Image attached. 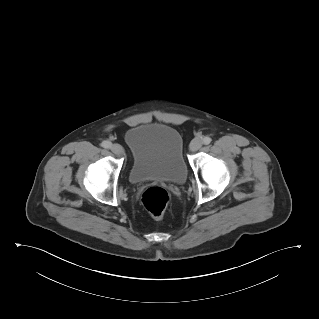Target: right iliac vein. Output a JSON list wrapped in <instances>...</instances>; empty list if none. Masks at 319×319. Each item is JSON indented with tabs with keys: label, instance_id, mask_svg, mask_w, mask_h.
Returning <instances> with one entry per match:
<instances>
[{
	"label": "right iliac vein",
	"instance_id": "obj_1",
	"mask_svg": "<svg viewBox=\"0 0 319 319\" xmlns=\"http://www.w3.org/2000/svg\"><path fill=\"white\" fill-rule=\"evenodd\" d=\"M111 151L117 156H121L124 153L122 146L117 143L111 145Z\"/></svg>",
	"mask_w": 319,
	"mask_h": 319
}]
</instances>
